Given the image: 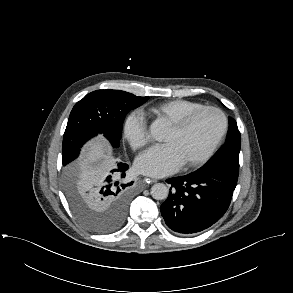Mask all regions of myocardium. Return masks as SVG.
I'll list each match as a JSON object with an SVG mask.
<instances>
[{"label":"myocardium","mask_w":293,"mask_h":293,"mask_svg":"<svg viewBox=\"0 0 293 293\" xmlns=\"http://www.w3.org/2000/svg\"><path fill=\"white\" fill-rule=\"evenodd\" d=\"M215 112L217 113L221 120H222V128L219 132V134L217 135V137L215 138V140L213 141V143L210 145V147L198 158L183 163V166L185 168H195L198 167L202 164H204L205 162H207L212 156L213 154L216 152V150L218 149V147L220 146L221 142L223 141V139L225 138L227 131H228V127H229V122H228V118L226 116V114L224 113V111L218 107L215 106H203L201 108H198L186 115H184L183 117H181L180 119H178L177 121L171 123L169 125V127L174 131V132H182L184 131L189 124L200 114L204 113V112Z\"/></svg>","instance_id":"myocardium-1"}]
</instances>
